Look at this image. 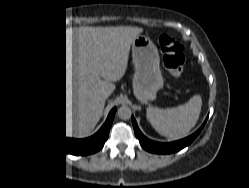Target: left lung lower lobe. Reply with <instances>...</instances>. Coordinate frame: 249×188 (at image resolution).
<instances>
[{
    "instance_id": "1",
    "label": "left lung lower lobe",
    "mask_w": 249,
    "mask_h": 188,
    "mask_svg": "<svg viewBox=\"0 0 249 188\" xmlns=\"http://www.w3.org/2000/svg\"><path fill=\"white\" fill-rule=\"evenodd\" d=\"M205 122L203 123V125L200 127L199 130H197L194 134H192L191 136L185 139L171 142V143H159V142H155V141H152L146 138L139 130L136 120L134 119V117H132V123H133L134 131H135V135L139 139L141 146L149 152L158 153V154L174 153L188 146L189 144H191L192 141L201 132L202 128L205 125Z\"/></svg>"
}]
</instances>
